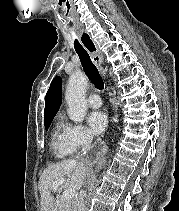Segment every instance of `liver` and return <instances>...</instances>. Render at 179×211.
Instances as JSON below:
<instances>
[{
  "mask_svg": "<svg viewBox=\"0 0 179 211\" xmlns=\"http://www.w3.org/2000/svg\"><path fill=\"white\" fill-rule=\"evenodd\" d=\"M88 167L84 161L79 159L64 160L57 164L47 167L39 179V191L41 196L42 211H60L58 201L51 195L53 183L57 180L64 179L67 189L80 190L88 174Z\"/></svg>",
  "mask_w": 179,
  "mask_h": 211,
  "instance_id": "obj_1",
  "label": "liver"
}]
</instances>
